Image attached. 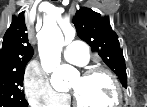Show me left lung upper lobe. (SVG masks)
<instances>
[{
  "mask_svg": "<svg viewBox=\"0 0 147 107\" xmlns=\"http://www.w3.org/2000/svg\"><path fill=\"white\" fill-rule=\"evenodd\" d=\"M77 35L87 42L92 51L103 59L105 64L119 77L123 87H127V74L123 52L118 36L112 30L109 18L85 7L77 10L73 19Z\"/></svg>",
  "mask_w": 147,
  "mask_h": 107,
  "instance_id": "1",
  "label": "left lung upper lobe"
}]
</instances>
